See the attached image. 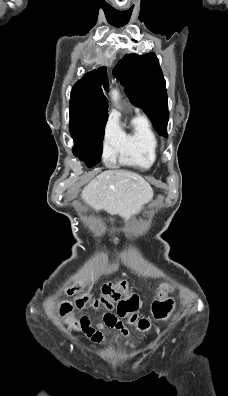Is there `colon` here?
I'll list each match as a JSON object with an SVG mask.
<instances>
[{
	"label": "colon",
	"mask_w": 228,
	"mask_h": 396,
	"mask_svg": "<svg viewBox=\"0 0 228 396\" xmlns=\"http://www.w3.org/2000/svg\"><path fill=\"white\" fill-rule=\"evenodd\" d=\"M80 285L74 284L69 288L70 294H76L80 292ZM171 287L169 284L164 283L161 285L158 298L152 304V313L155 319L165 321L167 320L173 310V301L167 296ZM92 302V305L97 308L102 305L106 308L112 307L117 302V314L120 317H128V322L133 324L137 323L141 330H147L149 328V321L146 319H138L135 315L139 306V298L136 294L129 290L126 281L109 282L103 285L102 295L97 299H91L88 295L81 294L75 302V306L81 308L88 302ZM73 305L70 303H64L61 305L59 315L65 317L72 310ZM104 323L106 326L111 328L119 329L123 327V324L119 322L117 316L112 313H106L104 315ZM81 323L84 325L88 323V319L83 317Z\"/></svg>",
	"instance_id": "colon-1"
}]
</instances>
